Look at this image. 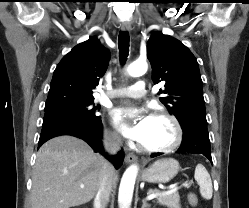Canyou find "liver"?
Returning <instances> with one entry per match:
<instances>
[{
  "mask_svg": "<svg viewBox=\"0 0 249 208\" xmlns=\"http://www.w3.org/2000/svg\"><path fill=\"white\" fill-rule=\"evenodd\" d=\"M105 162L81 139L69 135L50 139L37 153L31 208H70L88 203L97 194ZM116 181L114 171L112 186Z\"/></svg>",
  "mask_w": 249,
  "mask_h": 208,
  "instance_id": "obj_1",
  "label": "liver"
}]
</instances>
